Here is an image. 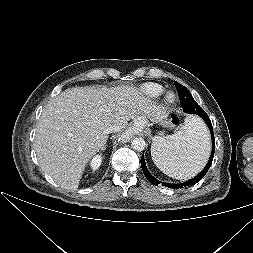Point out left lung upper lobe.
<instances>
[{"label": "left lung upper lobe", "instance_id": "1", "mask_svg": "<svg viewBox=\"0 0 253 253\" xmlns=\"http://www.w3.org/2000/svg\"><path fill=\"white\" fill-rule=\"evenodd\" d=\"M175 87L178 91L180 104L183 108L185 113L195 114L198 107H200L194 98L192 97L191 93L180 83L174 81Z\"/></svg>", "mask_w": 253, "mask_h": 253}]
</instances>
